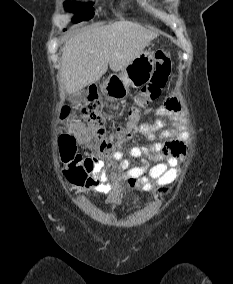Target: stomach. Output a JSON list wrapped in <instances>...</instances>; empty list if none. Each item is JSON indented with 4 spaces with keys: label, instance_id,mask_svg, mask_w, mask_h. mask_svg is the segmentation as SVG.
<instances>
[{
    "label": "stomach",
    "instance_id": "1",
    "mask_svg": "<svg viewBox=\"0 0 233 284\" xmlns=\"http://www.w3.org/2000/svg\"><path fill=\"white\" fill-rule=\"evenodd\" d=\"M154 71L153 52L144 51L119 74H113L102 84L103 94L111 100H122L129 94V88H138L150 81Z\"/></svg>",
    "mask_w": 233,
    "mask_h": 284
}]
</instances>
